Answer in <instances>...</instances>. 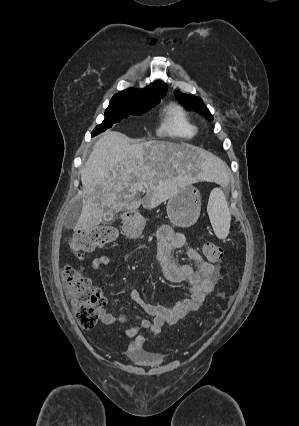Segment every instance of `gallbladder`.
Masks as SVG:
<instances>
[{"mask_svg":"<svg viewBox=\"0 0 299 426\" xmlns=\"http://www.w3.org/2000/svg\"><path fill=\"white\" fill-rule=\"evenodd\" d=\"M114 212H115L114 209L109 208V207H105L104 208L105 217H104L103 222L104 223H111V222H113Z\"/></svg>","mask_w":299,"mask_h":426,"instance_id":"1","label":"gallbladder"}]
</instances>
